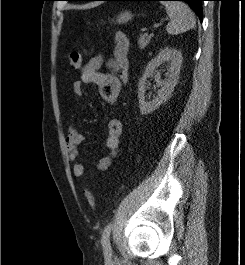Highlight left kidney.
Segmentation results:
<instances>
[{
  "instance_id": "1",
  "label": "left kidney",
  "mask_w": 245,
  "mask_h": 265,
  "mask_svg": "<svg viewBox=\"0 0 245 265\" xmlns=\"http://www.w3.org/2000/svg\"><path fill=\"white\" fill-rule=\"evenodd\" d=\"M182 60L183 57L181 51L166 47L165 49H162L155 58L149 61L142 77L138 82L139 108L142 115L152 113L169 98L179 79ZM165 62L168 64V76L167 79L162 81L160 79V74H156L155 71L156 68ZM152 76H154L157 86H160L161 88L158 90L157 96L154 97L152 101H146V82L147 78Z\"/></svg>"
}]
</instances>
